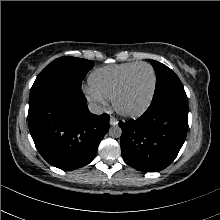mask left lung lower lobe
<instances>
[{
	"mask_svg": "<svg viewBox=\"0 0 220 220\" xmlns=\"http://www.w3.org/2000/svg\"><path fill=\"white\" fill-rule=\"evenodd\" d=\"M124 161L143 172H158L176 158L188 129V109L172 103L150 105L136 120L119 122Z\"/></svg>",
	"mask_w": 220,
	"mask_h": 220,
	"instance_id": "1",
	"label": "left lung lower lobe"
}]
</instances>
